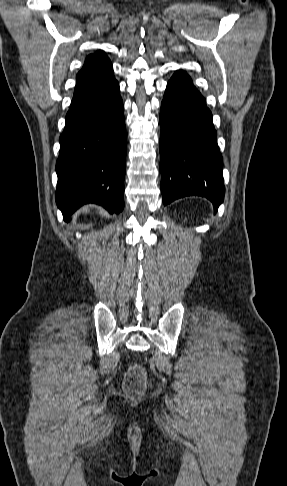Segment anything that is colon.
<instances>
[{"label":"colon","instance_id":"obj_1","mask_svg":"<svg viewBox=\"0 0 287 486\" xmlns=\"http://www.w3.org/2000/svg\"><path fill=\"white\" fill-rule=\"evenodd\" d=\"M146 385V376L144 369L139 365H133L129 368L123 383L124 390L132 396L141 394Z\"/></svg>","mask_w":287,"mask_h":486}]
</instances>
